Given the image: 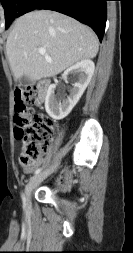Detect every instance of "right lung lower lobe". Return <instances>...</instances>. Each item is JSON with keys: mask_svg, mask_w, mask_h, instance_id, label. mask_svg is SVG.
I'll return each mask as SVG.
<instances>
[{"mask_svg": "<svg viewBox=\"0 0 133 253\" xmlns=\"http://www.w3.org/2000/svg\"><path fill=\"white\" fill-rule=\"evenodd\" d=\"M107 0H24L16 17L34 9H49L71 16L90 26L102 41L106 19Z\"/></svg>", "mask_w": 133, "mask_h": 253, "instance_id": "right-lung-lower-lobe-1", "label": "right lung lower lobe"}]
</instances>
